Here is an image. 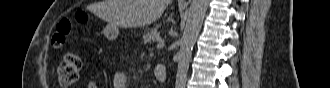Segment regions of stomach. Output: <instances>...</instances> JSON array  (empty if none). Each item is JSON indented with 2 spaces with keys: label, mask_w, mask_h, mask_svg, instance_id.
<instances>
[{
  "label": "stomach",
  "mask_w": 330,
  "mask_h": 88,
  "mask_svg": "<svg viewBox=\"0 0 330 88\" xmlns=\"http://www.w3.org/2000/svg\"><path fill=\"white\" fill-rule=\"evenodd\" d=\"M118 34V29L116 25H108L105 29V35L109 38V39H114L116 38Z\"/></svg>",
  "instance_id": "0dacf381"
}]
</instances>
